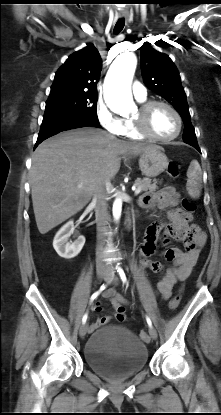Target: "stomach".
I'll list each match as a JSON object with an SVG mask.
<instances>
[{"label": "stomach", "instance_id": "stomach-1", "mask_svg": "<svg viewBox=\"0 0 221 415\" xmlns=\"http://www.w3.org/2000/svg\"><path fill=\"white\" fill-rule=\"evenodd\" d=\"M168 158L163 150L154 146L139 156V168L143 175L147 177H156L168 167Z\"/></svg>", "mask_w": 221, "mask_h": 415}]
</instances>
